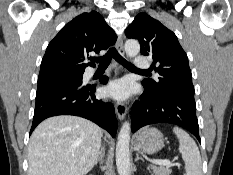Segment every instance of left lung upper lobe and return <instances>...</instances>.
I'll return each mask as SVG.
<instances>
[{
  "mask_svg": "<svg viewBox=\"0 0 233 175\" xmlns=\"http://www.w3.org/2000/svg\"><path fill=\"white\" fill-rule=\"evenodd\" d=\"M125 34L128 38L138 39L141 54L152 56V68L160 75L159 82L142 81L146 90L155 94L168 90L194 92L187 55L172 31L146 13H140Z\"/></svg>",
  "mask_w": 233,
  "mask_h": 175,
  "instance_id": "1",
  "label": "left lung upper lobe"
}]
</instances>
